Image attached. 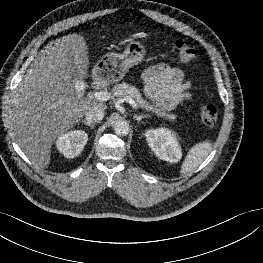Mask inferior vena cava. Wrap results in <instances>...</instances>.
<instances>
[{"label":"inferior vena cava","instance_id":"602c4592","mask_svg":"<svg viewBox=\"0 0 263 263\" xmlns=\"http://www.w3.org/2000/svg\"><path fill=\"white\" fill-rule=\"evenodd\" d=\"M104 118V109L97 105L92 106L85 112V119L89 123H98Z\"/></svg>","mask_w":263,"mask_h":263}]
</instances>
